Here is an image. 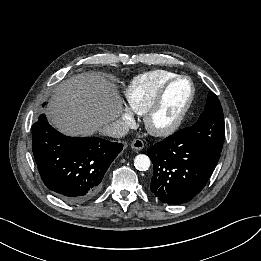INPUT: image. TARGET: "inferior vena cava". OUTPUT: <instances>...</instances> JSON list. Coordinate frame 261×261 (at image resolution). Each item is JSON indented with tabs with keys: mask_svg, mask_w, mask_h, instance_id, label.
<instances>
[{
	"mask_svg": "<svg viewBox=\"0 0 261 261\" xmlns=\"http://www.w3.org/2000/svg\"><path fill=\"white\" fill-rule=\"evenodd\" d=\"M100 131L107 136L114 137V138H120L126 135L129 132L128 125L121 121L116 120L112 123H109L105 126H103Z\"/></svg>",
	"mask_w": 261,
	"mask_h": 261,
	"instance_id": "1",
	"label": "inferior vena cava"
}]
</instances>
